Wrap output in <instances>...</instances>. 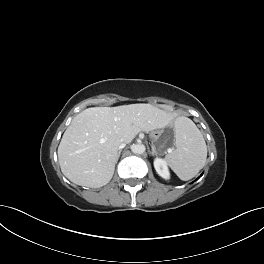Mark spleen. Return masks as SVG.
Returning a JSON list of instances; mask_svg holds the SVG:
<instances>
[{"label":"spleen","mask_w":264,"mask_h":264,"mask_svg":"<svg viewBox=\"0 0 264 264\" xmlns=\"http://www.w3.org/2000/svg\"><path fill=\"white\" fill-rule=\"evenodd\" d=\"M176 149L166 155V161L176 175L184 181L195 177L207 158V146L202 133L187 117L175 121Z\"/></svg>","instance_id":"obj_1"}]
</instances>
